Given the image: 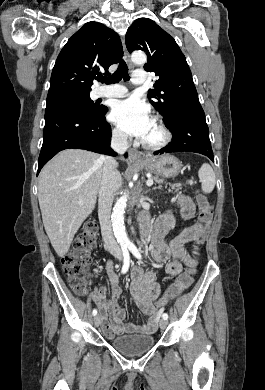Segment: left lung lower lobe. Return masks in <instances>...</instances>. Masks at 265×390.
<instances>
[{
	"mask_svg": "<svg viewBox=\"0 0 265 390\" xmlns=\"http://www.w3.org/2000/svg\"><path fill=\"white\" fill-rule=\"evenodd\" d=\"M167 128L172 132V141L154 154L173 152H196L214 161L209 129L200 104L181 109Z\"/></svg>",
	"mask_w": 265,
	"mask_h": 390,
	"instance_id": "1",
	"label": "left lung lower lobe"
}]
</instances>
